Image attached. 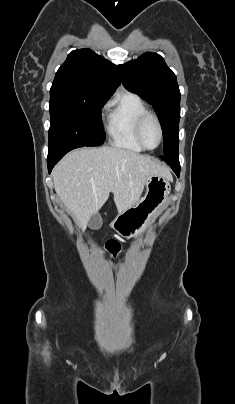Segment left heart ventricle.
Returning a JSON list of instances; mask_svg holds the SVG:
<instances>
[{
	"mask_svg": "<svg viewBox=\"0 0 235 404\" xmlns=\"http://www.w3.org/2000/svg\"><path fill=\"white\" fill-rule=\"evenodd\" d=\"M142 138L148 147H155L159 141V130L153 119H148L142 130Z\"/></svg>",
	"mask_w": 235,
	"mask_h": 404,
	"instance_id": "left-heart-ventricle-1",
	"label": "left heart ventricle"
}]
</instances>
